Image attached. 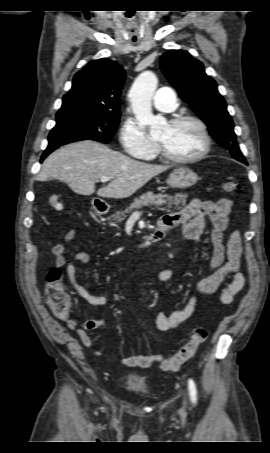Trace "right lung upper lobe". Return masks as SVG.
Segmentation results:
<instances>
[{"mask_svg":"<svg viewBox=\"0 0 270 453\" xmlns=\"http://www.w3.org/2000/svg\"><path fill=\"white\" fill-rule=\"evenodd\" d=\"M125 72L109 59L91 61L75 74L71 90L64 95L56 117L79 112L120 115V96Z\"/></svg>","mask_w":270,"mask_h":453,"instance_id":"cb5924a9","label":"right lung upper lobe"}]
</instances>
